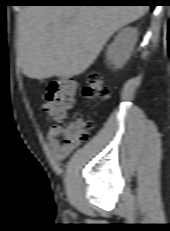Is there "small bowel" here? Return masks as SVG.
Instances as JSON below:
<instances>
[{"instance_id": "1", "label": "small bowel", "mask_w": 170, "mask_h": 231, "mask_svg": "<svg viewBox=\"0 0 170 231\" xmlns=\"http://www.w3.org/2000/svg\"><path fill=\"white\" fill-rule=\"evenodd\" d=\"M62 126L53 125L47 132V144L50 155L57 161L65 159L73 148L61 142Z\"/></svg>"}]
</instances>
